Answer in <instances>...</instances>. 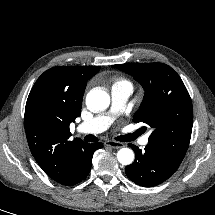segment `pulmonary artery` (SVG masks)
<instances>
[{"instance_id":"e3ab8cb5","label":"pulmonary artery","mask_w":215,"mask_h":215,"mask_svg":"<svg viewBox=\"0 0 215 215\" xmlns=\"http://www.w3.org/2000/svg\"><path fill=\"white\" fill-rule=\"evenodd\" d=\"M132 93L131 85L113 86L111 90L112 105L109 112L98 115L91 120L81 123L77 127L80 133L96 134L105 131L112 123L114 117L118 115L125 107V104ZM148 135L141 139V144L148 143Z\"/></svg>"}]
</instances>
